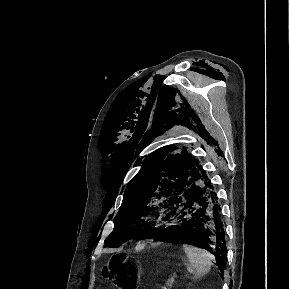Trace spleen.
Instances as JSON below:
<instances>
[{"label": "spleen", "mask_w": 289, "mask_h": 289, "mask_svg": "<svg viewBox=\"0 0 289 289\" xmlns=\"http://www.w3.org/2000/svg\"><path fill=\"white\" fill-rule=\"evenodd\" d=\"M183 250L189 260L187 269L196 278H200L209 272L212 266V256L209 252L188 244H183Z\"/></svg>", "instance_id": "3e777b00"}]
</instances>
